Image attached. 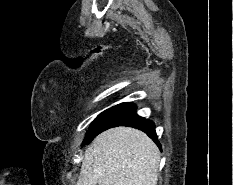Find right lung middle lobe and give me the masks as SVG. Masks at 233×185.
<instances>
[{
  "instance_id": "dd1d6c3e",
  "label": "right lung middle lobe",
  "mask_w": 233,
  "mask_h": 185,
  "mask_svg": "<svg viewBox=\"0 0 233 185\" xmlns=\"http://www.w3.org/2000/svg\"><path fill=\"white\" fill-rule=\"evenodd\" d=\"M115 107L116 106L102 112L100 115L97 116V118L94 120V122L92 123V125L90 126V128L86 134V137L83 141V145L89 144L99 134V130L101 128V124H102L103 120L110 114V112Z\"/></svg>"
}]
</instances>
